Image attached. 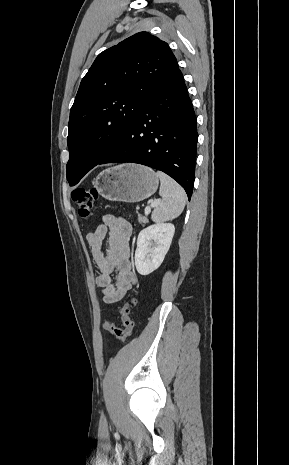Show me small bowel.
Masks as SVG:
<instances>
[{
    "label": "small bowel",
    "mask_w": 289,
    "mask_h": 465,
    "mask_svg": "<svg viewBox=\"0 0 289 465\" xmlns=\"http://www.w3.org/2000/svg\"><path fill=\"white\" fill-rule=\"evenodd\" d=\"M131 235L129 222L107 214L102 217V224L86 236L93 260L99 269L95 283L107 304L123 300L136 283L129 260Z\"/></svg>",
    "instance_id": "small-bowel-1"
}]
</instances>
